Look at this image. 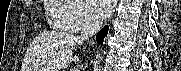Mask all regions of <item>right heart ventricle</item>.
Returning a JSON list of instances; mask_svg holds the SVG:
<instances>
[{"label": "right heart ventricle", "mask_w": 181, "mask_h": 71, "mask_svg": "<svg viewBox=\"0 0 181 71\" xmlns=\"http://www.w3.org/2000/svg\"><path fill=\"white\" fill-rule=\"evenodd\" d=\"M68 7L57 1L49 0L46 6V15L48 23L57 30L68 31L65 13Z\"/></svg>", "instance_id": "e07e8e85"}]
</instances>
